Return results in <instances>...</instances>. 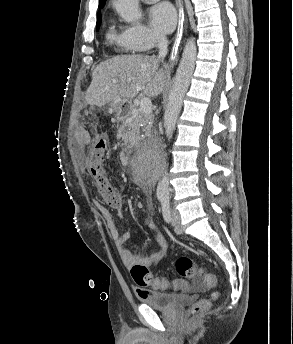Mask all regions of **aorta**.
Returning <instances> with one entry per match:
<instances>
[{
    "label": "aorta",
    "mask_w": 293,
    "mask_h": 344,
    "mask_svg": "<svg viewBox=\"0 0 293 344\" xmlns=\"http://www.w3.org/2000/svg\"><path fill=\"white\" fill-rule=\"evenodd\" d=\"M115 9L119 16L127 23H133L141 18L139 0H116ZM197 46L195 38L187 40L182 58L180 60L174 84L170 91L167 108L164 113L165 135L170 140L175 130L176 122L182 108L184 96L189 88L190 81L195 68ZM169 179L166 174L162 176L157 186V195L168 196Z\"/></svg>",
    "instance_id": "762f6f07"
}]
</instances>
